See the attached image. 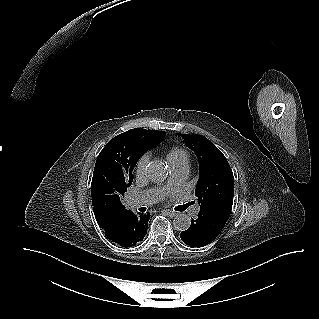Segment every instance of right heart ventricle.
Wrapping results in <instances>:
<instances>
[{
	"label": "right heart ventricle",
	"mask_w": 319,
	"mask_h": 319,
	"mask_svg": "<svg viewBox=\"0 0 319 319\" xmlns=\"http://www.w3.org/2000/svg\"><path fill=\"white\" fill-rule=\"evenodd\" d=\"M188 153L179 147L170 149L167 153V161L171 167L177 165L180 162L188 161Z\"/></svg>",
	"instance_id": "e07e8e85"
}]
</instances>
